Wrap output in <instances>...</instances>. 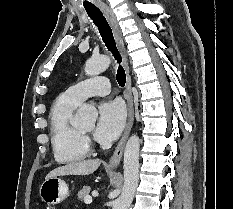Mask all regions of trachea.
I'll return each instance as SVG.
<instances>
[{
	"mask_svg": "<svg viewBox=\"0 0 233 209\" xmlns=\"http://www.w3.org/2000/svg\"><path fill=\"white\" fill-rule=\"evenodd\" d=\"M85 10L88 16L93 20V23L97 26L104 44L106 45L108 50L112 53L115 60L119 64L116 75L117 82L121 87H124L126 83V74H125V70L121 65L122 58L116 47V43L113 37L111 27L109 26L102 12L97 7L85 6Z\"/></svg>",
	"mask_w": 233,
	"mask_h": 209,
	"instance_id": "1",
	"label": "trachea"
}]
</instances>
